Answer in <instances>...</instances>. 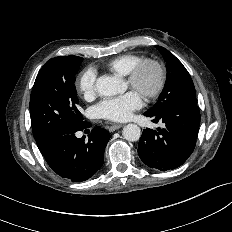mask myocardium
<instances>
[{"label":"myocardium","mask_w":232,"mask_h":232,"mask_svg":"<svg viewBox=\"0 0 232 232\" xmlns=\"http://www.w3.org/2000/svg\"><path fill=\"white\" fill-rule=\"evenodd\" d=\"M153 68L156 72V82L151 90L141 93L146 99H155L163 91L166 84V70L164 65L157 59L146 58L137 63L127 75V82L135 90L139 89V81L143 71Z\"/></svg>","instance_id":"obj_1"}]
</instances>
